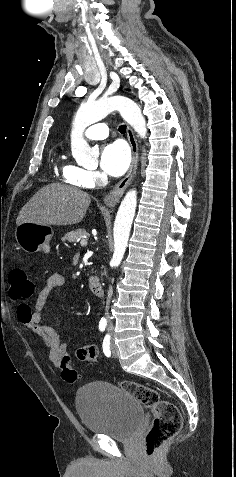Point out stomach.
I'll list each match as a JSON object with an SVG mask.
<instances>
[{"label": "stomach", "mask_w": 236, "mask_h": 477, "mask_svg": "<svg viewBox=\"0 0 236 477\" xmlns=\"http://www.w3.org/2000/svg\"><path fill=\"white\" fill-rule=\"evenodd\" d=\"M50 225H39L32 222H23L17 225L15 238L19 247L27 253L50 252V240L53 237Z\"/></svg>", "instance_id": "1"}]
</instances>
